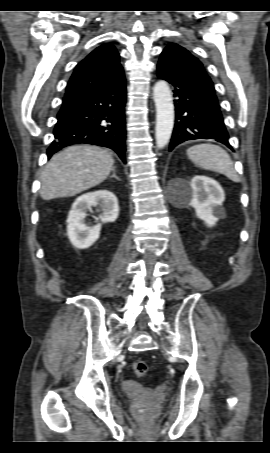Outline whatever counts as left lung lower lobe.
Listing matches in <instances>:
<instances>
[{
    "instance_id": "1",
    "label": "left lung lower lobe",
    "mask_w": 270,
    "mask_h": 453,
    "mask_svg": "<svg viewBox=\"0 0 270 453\" xmlns=\"http://www.w3.org/2000/svg\"><path fill=\"white\" fill-rule=\"evenodd\" d=\"M157 75L174 89L176 122L169 144L214 139L232 149L212 81L171 59L159 60Z\"/></svg>"
}]
</instances>
